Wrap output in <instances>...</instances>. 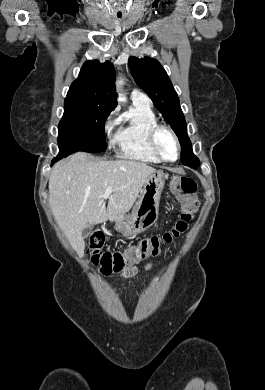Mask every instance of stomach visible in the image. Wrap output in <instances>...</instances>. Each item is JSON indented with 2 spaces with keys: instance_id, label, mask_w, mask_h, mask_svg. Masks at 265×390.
I'll use <instances>...</instances> for the list:
<instances>
[{
  "instance_id": "1",
  "label": "stomach",
  "mask_w": 265,
  "mask_h": 390,
  "mask_svg": "<svg viewBox=\"0 0 265 390\" xmlns=\"http://www.w3.org/2000/svg\"><path fill=\"white\" fill-rule=\"evenodd\" d=\"M166 178L167 174L163 172H154L148 176L132 212L116 218V228L123 236L137 235L156 223Z\"/></svg>"
}]
</instances>
